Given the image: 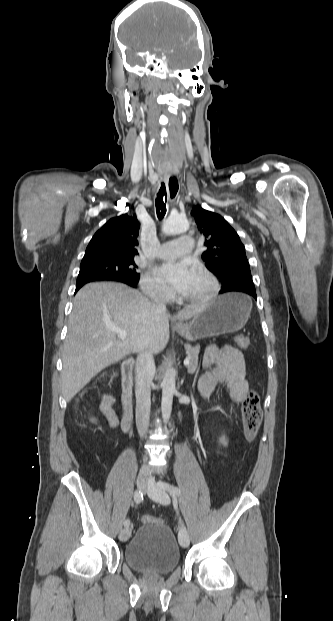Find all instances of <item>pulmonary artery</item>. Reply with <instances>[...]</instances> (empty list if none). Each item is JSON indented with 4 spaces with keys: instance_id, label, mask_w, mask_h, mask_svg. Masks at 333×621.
<instances>
[{
    "instance_id": "1",
    "label": "pulmonary artery",
    "mask_w": 333,
    "mask_h": 621,
    "mask_svg": "<svg viewBox=\"0 0 333 621\" xmlns=\"http://www.w3.org/2000/svg\"><path fill=\"white\" fill-rule=\"evenodd\" d=\"M193 246V239L183 235L177 240L162 243L156 251V256L163 259L175 258L190 253Z\"/></svg>"
}]
</instances>
